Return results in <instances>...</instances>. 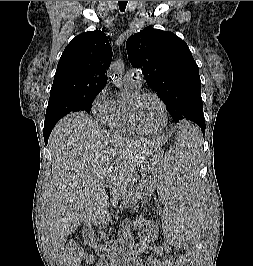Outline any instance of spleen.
I'll use <instances>...</instances> for the list:
<instances>
[{"label": "spleen", "instance_id": "1", "mask_svg": "<svg viewBox=\"0 0 253 266\" xmlns=\"http://www.w3.org/2000/svg\"><path fill=\"white\" fill-rule=\"evenodd\" d=\"M172 135L169 153L159 160L161 176L154 185V194L162 199L163 220L161 240L163 248H199L204 242L206 229L204 216H212V207H204V190L201 184V161L205 156V135H198L190 123H177Z\"/></svg>", "mask_w": 253, "mask_h": 266}]
</instances>
